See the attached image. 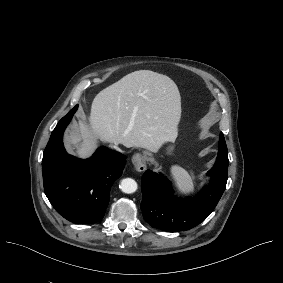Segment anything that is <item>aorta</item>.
<instances>
[{
  "label": "aorta",
  "instance_id": "aorta-1",
  "mask_svg": "<svg viewBox=\"0 0 283 283\" xmlns=\"http://www.w3.org/2000/svg\"><path fill=\"white\" fill-rule=\"evenodd\" d=\"M138 188L137 182L132 178H125L121 181L120 189L122 192L130 194L134 193Z\"/></svg>",
  "mask_w": 283,
  "mask_h": 283
}]
</instances>
